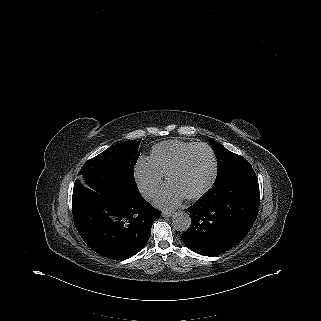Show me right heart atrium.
<instances>
[{"label": "right heart atrium", "instance_id": "obj_1", "mask_svg": "<svg viewBox=\"0 0 321 321\" xmlns=\"http://www.w3.org/2000/svg\"><path fill=\"white\" fill-rule=\"evenodd\" d=\"M132 175L142 195L147 199L153 198L161 185L162 177L153 169L149 159L139 158Z\"/></svg>", "mask_w": 321, "mask_h": 321}]
</instances>
